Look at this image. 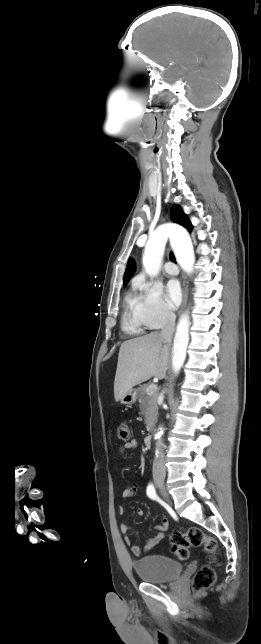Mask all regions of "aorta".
<instances>
[{"label": "aorta", "instance_id": "obj_1", "mask_svg": "<svg viewBox=\"0 0 261 644\" xmlns=\"http://www.w3.org/2000/svg\"><path fill=\"white\" fill-rule=\"evenodd\" d=\"M168 238L175 241V232L170 229L159 228L150 235L146 243L142 262L145 272L151 277L156 276L160 271L165 245ZM175 254L181 267L186 272H191L195 260L192 248L186 247L185 249H181L177 247L175 249ZM189 325V317L184 314L177 326L172 350V367L175 374L179 373L186 358V351L189 343ZM162 433V428H160V431H158V434L156 435L158 440Z\"/></svg>", "mask_w": 261, "mask_h": 644}]
</instances>
